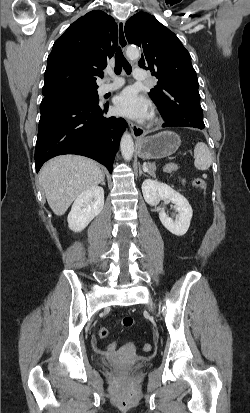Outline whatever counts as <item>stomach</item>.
I'll use <instances>...</instances> for the list:
<instances>
[{"instance_id": "obj_1", "label": "stomach", "mask_w": 250, "mask_h": 413, "mask_svg": "<svg viewBox=\"0 0 250 413\" xmlns=\"http://www.w3.org/2000/svg\"><path fill=\"white\" fill-rule=\"evenodd\" d=\"M179 135L163 131L153 136L143 137L137 142V152L143 159H160L174 154L180 147Z\"/></svg>"}]
</instances>
